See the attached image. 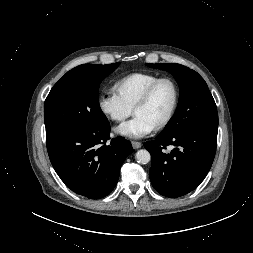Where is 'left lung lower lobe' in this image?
<instances>
[{"instance_id":"left-lung-lower-lobe-1","label":"left lung lower lobe","mask_w":253,"mask_h":253,"mask_svg":"<svg viewBox=\"0 0 253 253\" xmlns=\"http://www.w3.org/2000/svg\"><path fill=\"white\" fill-rule=\"evenodd\" d=\"M216 144L217 131L197 128L145 142L152 159L149 176L153 187L167 197L194 190L211 168ZM168 145L174 147L170 153L164 151Z\"/></svg>"}]
</instances>
